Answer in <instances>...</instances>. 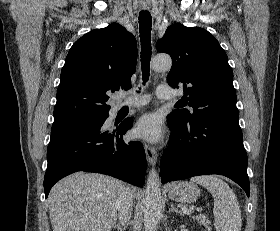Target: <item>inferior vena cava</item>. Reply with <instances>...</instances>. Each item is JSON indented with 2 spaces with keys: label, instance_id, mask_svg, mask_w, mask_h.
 Instances as JSON below:
<instances>
[{
  "label": "inferior vena cava",
  "instance_id": "602c4592",
  "mask_svg": "<svg viewBox=\"0 0 280 231\" xmlns=\"http://www.w3.org/2000/svg\"><path fill=\"white\" fill-rule=\"evenodd\" d=\"M117 205L119 207L118 217L122 225H126L127 221L131 219L133 211L132 191L130 187H123L122 197L118 199Z\"/></svg>",
  "mask_w": 280,
  "mask_h": 231
}]
</instances>
